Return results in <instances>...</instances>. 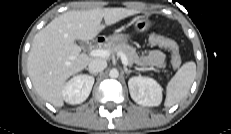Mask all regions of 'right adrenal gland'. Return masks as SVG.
Returning <instances> with one entry per match:
<instances>
[{"label":"right adrenal gland","instance_id":"obj_1","mask_svg":"<svg viewBox=\"0 0 231 134\" xmlns=\"http://www.w3.org/2000/svg\"><path fill=\"white\" fill-rule=\"evenodd\" d=\"M88 71H89V70H88ZM89 73L92 74L93 76H96V75H97V74L91 73L90 71H89Z\"/></svg>","mask_w":231,"mask_h":134}]
</instances>
